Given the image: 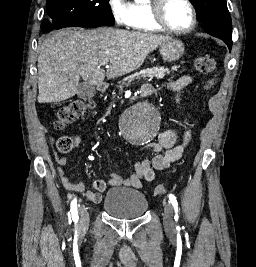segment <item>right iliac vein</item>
<instances>
[{
	"instance_id": "63e3f726",
	"label": "right iliac vein",
	"mask_w": 256,
	"mask_h": 267,
	"mask_svg": "<svg viewBox=\"0 0 256 267\" xmlns=\"http://www.w3.org/2000/svg\"><path fill=\"white\" fill-rule=\"evenodd\" d=\"M79 216H80V221H79L80 228H86V226L89 223V212L84 206L80 207Z\"/></svg>"
}]
</instances>
